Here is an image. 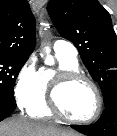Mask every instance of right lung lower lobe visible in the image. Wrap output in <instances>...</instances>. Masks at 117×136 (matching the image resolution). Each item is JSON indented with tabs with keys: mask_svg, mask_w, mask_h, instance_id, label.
I'll return each instance as SVG.
<instances>
[{
	"mask_svg": "<svg viewBox=\"0 0 117 136\" xmlns=\"http://www.w3.org/2000/svg\"><path fill=\"white\" fill-rule=\"evenodd\" d=\"M16 108L15 98L0 95V121L8 117Z\"/></svg>",
	"mask_w": 117,
	"mask_h": 136,
	"instance_id": "obj_1",
	"label": "right lung lower lobe"
}]
</instances>
